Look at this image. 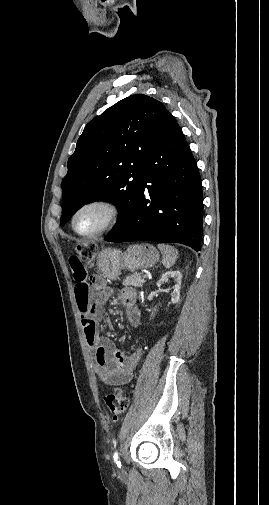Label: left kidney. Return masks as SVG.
I'll return each instance as SVG.
<instances>
[{
  "instance_id": "1",
  "label": "left kidney",
  "mask_w": 269,
  "mask_h": 505,
  "mask_svg": "<svg viewBox=\"0 0 269 505\" xmlns=\"http://www.w3.org/2000/svg\"><path fill=\"white\" fill-rule=\"evenodd\" d=\"M170 278L174 279L175 285L173 286V292L171 294V301L173 304H176L180 300V286H181V279H182V274L178 270H170L165 272L159 281L157 282V286L160 287L162 284L167 282Z\"/></svg>"
}]
</instances>
